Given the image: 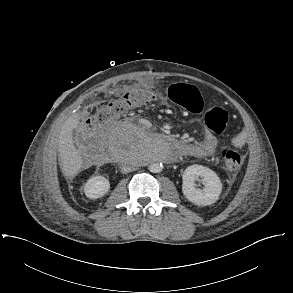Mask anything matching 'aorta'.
Returning a JSON list of instances; mask_svg holds the SVG:
<instances>
[{"instance_id":"762f6f07","label":"aorta","mask_w":293,"mask_h":293,"mask_svg":"<svg viewBox=\"0 0 293 293\" xmlns=\"http://www.w3.org/2000/svg\"><path fill=\"white\" fill-rule=\"evenodd\" d=\"M153 152L158 156H165L168 152L169 143L162 138H153L150 142ZM163 169L162 163L154 162L149 166V171L159 173Z\"/></svg>"}]
</instances>
